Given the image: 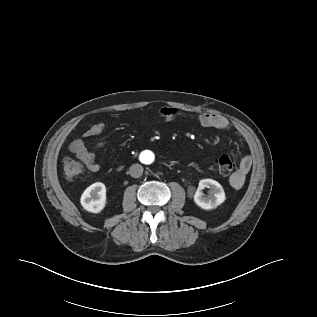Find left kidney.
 <instances>
[{
	"label": "left kidney",
	"instance_id": "5707ae66",
	"mask_svg": "<svg viewBox=\"0 0 317 317\" xmlns=\"http://www.w3.org/2000/svg\"><path fill=\"white\" fill-rule=\"evenodd\" d=\"M204 188H210V195L205 196L202 193ZM194 202L204 210H212L225 201V192L223 187L213 179H202L199 182L197 191L194 195Z\"/></svg>",
	"mask_w": 317,
	"mask_h": 317
}]
</instances>
